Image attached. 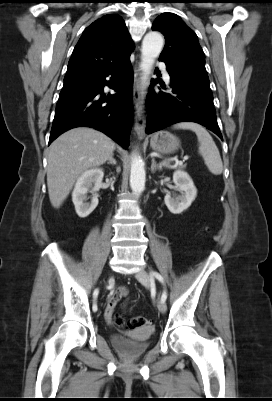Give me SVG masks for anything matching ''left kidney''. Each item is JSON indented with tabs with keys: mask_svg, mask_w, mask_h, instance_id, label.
Here are the masks:
<instances>
[{
	"mask_svg": "<svg viewBox=\"0 0 272 401\" xmlns=\"http://www.w3.org/2000/svg\"><path fill=\"white\" fill-rule=\"evenodd\" d=\"M173 182L180 195L166 194L164 201L173 214H180L190 207L191 203L195 200L197 189L190 178L184 171H176L173 174Z\"/></svg>",
	"mask_w": 272,
	"mask_h": 401,
	"instance_id": "5707ae66",
	"label": "left kidney"
}]
</instances>
